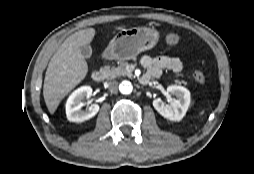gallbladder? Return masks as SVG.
I'll list each match as a JSON object with an SVG mask.
<instances>
[{
	"label": "gallbladder",
	"instance_id": "bac80fb5",
	"mask_svg": "<svg viewBox=\"0 0 254 174\" xmlns=\"http://www.w3.org/2000/svg\"><path fill=\"white\" fill-rule=\"evenodd\" d=\"M84 58H90L92 55V48L90 45H84L80 48Z\"/></svg>",
	"mask_w": 254,
	"mask_h": 174
}]
</instances>
